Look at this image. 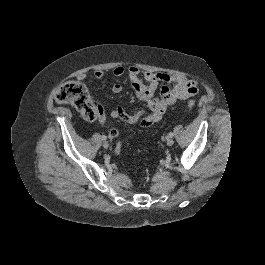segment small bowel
Here are the masks:
<instances>
[{
    "label": "small bowel",
    "mask_w": 265,
    "mask_h": 265,
    "mask_svg": "<svg viewBox=\"0 0 265 265\" xmlns=\"http://www.w3.org/2000/svg\"><path fill=\"white\" fill-rule=\"evenodd\" d=\"M115 77H122L124 74L128 77V85L134 90L140 100L145 103L146 110H141L133 114L127 113L122 106H118L110 112V116L114 119H120L126 123H138L142 126V123H147L148 127L155 122L162 119L165 111L168 107L173 105L179 100H185L198 93V86L195 80L179 74H162L153 73L150 71L141 72L137 67L130 66L127 69L122 66H117L113 69ZM105 73L103 70H96L94 77L96 79H103ZM80 80L86 78L85 74L78 76ZM168 83L169 85H163L161 87L160 97H155V93L160 83ZM124 87L121 83H115L112 86V92L119 94L123 91ZM101 108V107H100ZM102 112L99 117L100 123H104L106 116L101 108ZM111 138L118 136V131L112 129L109 132Z\"/></svg>",
    "instance_id": "c3829d8e"
}]
</instances>
